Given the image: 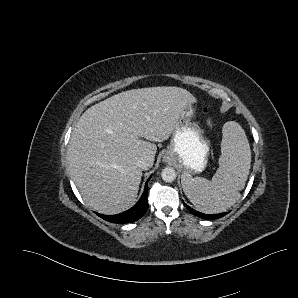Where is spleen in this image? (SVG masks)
Returning <instances> with one entry per match:
<instances>
[{"label": "spleen", "instance_id": "3e777b00", "mask_svg": "<svg viewBox=\"0 0 298 298\" xmlns=\"http://www.w3.org/2000/svg\"><path fill=\"white\" fill-rule=\"evenodd\" d=\"M250 164L251 149L244 129L239 123L228 121L222 128L219 168L212 180L184 173V193L203 213L224 212L240 199L239 191L245 187Z\"/></svg>", "mask_w": 298, "mask_h": 298}]
</instances>
